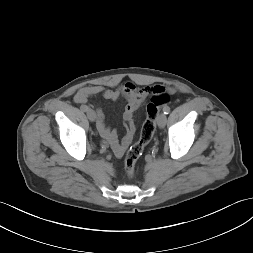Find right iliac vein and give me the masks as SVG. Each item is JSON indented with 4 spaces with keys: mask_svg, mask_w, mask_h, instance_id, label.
<instances>
[{
    "mask_svg": "<svg viewBox=\"0 0 253 253\" xmlns=\"http://www.w3.org/2000/svg\"><path fill=\"white\" fill-rule=\"evenodd\" d=\"M87 116H88L89 120L92 122H94L96 120V113L91 109H89L87 111Z\"/></svg>",
    "mask_w": 253,
    "mask_h": 253,
    "instance_id": "obj_1",
    "label": "right iliac vein"
}]
</instances>
